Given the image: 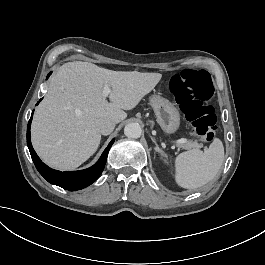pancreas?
Segmentation results:
<instances>
[{"label":"pancreas","instance_id":"obj_1","mask_svg":"<svg viewBox=\"0 0 265 265\" xmlns=\"http://www.w3.org/2000/svg\"><path fill=\"white\" fill-rule=\"evenodd\" d=\"M177 147L190 150V149H200L203 147L202 143H198L197 141L188 140L186 143H177Z\"/></svg>","mask_w":265,"mask_h":265}]
</instances>
